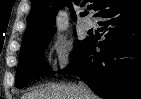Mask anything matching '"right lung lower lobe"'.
<instances>
[{
  "label": "right lung lower lobe",
  "mask_w": 141,
  "mask_h": 99,
  "mask_svg": "<svg viewBox=\"0 0 141 99\" xmlns=\"http://www.w3.org/2000/svg\"><path fill=\"white\" fill-rule=\"evenodd\" d=\"M98 17L106 39L89 37L59 73L81 77L103 99H141V0H112Z\"/></svg>",
  "instance_id": "obj_1"
}]
</instances>
